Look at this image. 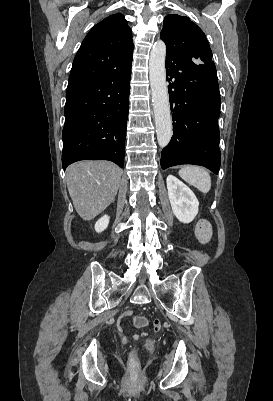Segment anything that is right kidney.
Instances as JSON below:
<instances>
[{
  "label": "right kidney",
  "mask_w": 273,
  "mask_h": 401,
  "mask_svg": "<svg viewBox=\"0 0 273 401\" xmlns=\"http://www.w3.org/2000/svg\"><path fill=\"white\" fill-rule=\"evenodd\" d=\"M109 219L110 217H108V215L101 217V219H99L95 225V231H97V233H102V231H105L109 225Z\"/></svg>",
  "instance_id": "1"
}]
</instances>
